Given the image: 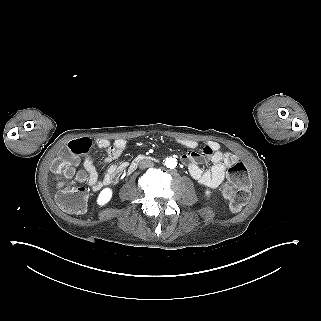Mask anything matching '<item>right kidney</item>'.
<instances>
[{
    "mask_svg": "<svg viewBox=\"0 0 321 321\" xmlns=\"http://www.w3.org/2000/svg\"><path fill=\"white\" fill-rule=\"evenodd\" d=\"M113 197V189L110 187L103 188L96 199V204L100 207L108 204Z\"/></svg>",
    "mask_w": 321,
    "mask_h": 321,
    "instance_id": "ca27d5eb",
    "label": "right kidney"
}]
</instances>
